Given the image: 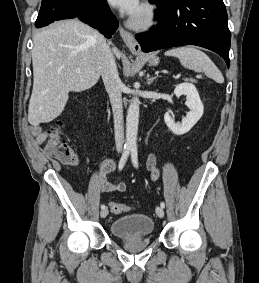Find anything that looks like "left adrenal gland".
<instances>
[{
  "instance_id": "left-adrenal-gland-1",
  "label": "left adrenal gland",
  "mask_w": 259,
  "mask_h": 283,
  "mask_svg": "<svg viewBox=\"0 0 259 283\" xmlns=\"http://www.w3.org/2000/svg\"><path fill=\"white\" fill-rule=\"evenodd\" d=\"M158 76L151 77L150 75H147V84L150 85L153 83V81L157 78Z\"/></svg>"
}]
</instances>
